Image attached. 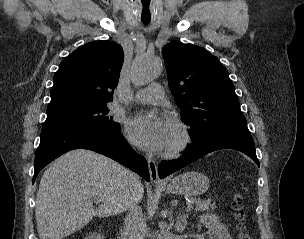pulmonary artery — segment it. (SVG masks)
Returning a JSON list of instances; mask_svg holds the SVG:
<instances>
[{
	"label": "pulmonary artery",
	"instance_id": "e3ab8cb5",
	"mask_svg": "<svg viewBox=\"0 0 304 239\" xmlns=\"http://www.w3.org/2000/svg\"><path fill=\"white\" fill-rule=\"evenodd\" d=\"M132 100L137 103L159 104L164 100L163 87L158 83L151 84L147 88L138 91Z\"/></svg>",
	"mask_w": 304,
	"mask_h": 239
}]
</instances>
